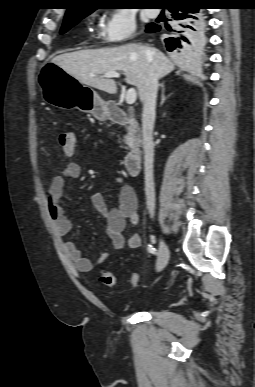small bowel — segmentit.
Instances as JSON below:
<instances>
[{
	"label": "small bowel",
	"instance_id": "1",
	"mask_svg": "<svg viewBox=\"0 0 255 387\" xmlns=\"http://www.w3.org/2000/svg\"><path fill=\"white\" fill-rule=\"evenodd\" d=\"M80 175L81 166L78 163L70 162L52 178L49 185L47 196L48 213L53 222L54 230L60 237L67 235L72 228V223L65 215L60 201L67 181L76 180ZM90 201L95 210L102 216L105 233L115 248L122 249L127 247L129 249H136L140 247L141 238L138 234H131L127 238L124 236L127 223L135 226L139 221L137 198L130 187H122L118 204L113 208L107 206L104 196L99 192L93 193L90 196ZM63 248L80 272L92 271L95 266L102 264L110 256V253L105 251L93 263L90 259L83 256L81 250L74 243L65 242Z\"/></svg>",
	"mask_w": 255,
	"mask_h": 387
}]
</instances>
